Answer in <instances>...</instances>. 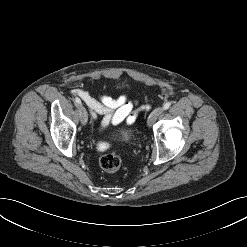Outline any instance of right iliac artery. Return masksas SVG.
<instances>
[{
  "mask_svg": "<svg viewBox=\"0 0 247 247\" xmlns=\"http://www.w3.org/2000/svg\"><path fill=\"white\" fill-rule=\"evenodd\" d=\"M75 102H76L77 105H81V100L79 98H77V97L75 98Z\"/></svg>",
  "mask_w": 247,
  "mask_h": 247,
  "instance_id": "right-iliac-artery-1",
  "label": "right iliac artery"
}]
</instances>
